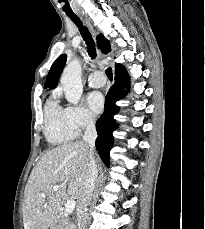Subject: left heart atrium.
<instances>
[{
	"label": "left heart atrium",
	"mask_w": 205,
	"mask_h": 229,
	"mask_svg": "<svg viewBox=\"0 0 205 229\" xmlns=\"http://www.w3.org/2000/svg\"><path fill=\"white\" fill-rule=\"evenodd\" d=\"M89 108L95 112L100 113L104 108V99L98 92L91 93L87 98Z\"/></svg>",
	"instance_id": "obj_1"
}]
</instances>
